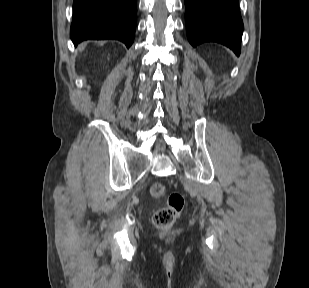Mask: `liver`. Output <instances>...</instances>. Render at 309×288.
Returning a JSON list of instances; mask_svg holds the SVG:
<instances>
[{
    "mask_svg": "<svg viewBox=\"0 0 309 288\" xmlns=\"http://www.w3.org/2000/svg\"><path fill=\"white\" fill-rule=\"evenodd\" d=\"M84 49V46L82 45L81 47H80V51H82Z\"/></svg>",
    "mask_w": 309,
    "mask_h": 288,
    "instance_id": "6515ba94",
    "label": "liver"
}]
</instances>
